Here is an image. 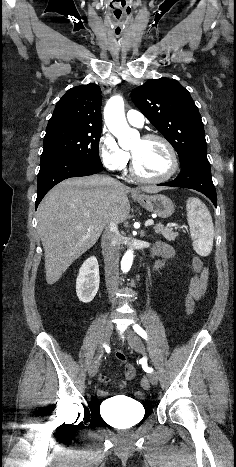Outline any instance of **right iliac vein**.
<instances>
[{
  "mask_svg": "<svg viewBox=\"0 0 236 467\" xmlns=\"http://www.w3.org/2000/svg\"><path fill=\"white\" fill-rule=\"evenodd\" d=\"M113 331V323L111 320H106L103 324L102 331H101V343L103 345L107 344L109 341V338L112 334ZM99 352H102V347L99 349ZM99 358L94 360V362L91 364L88 370V375L89 377H94L99 369Z\"/></svg>",
  "mask_w": 236,
  "mask_h": 467,
  "instance_id": "1",
  "label": "right iliac vein"
}]
</instances>
